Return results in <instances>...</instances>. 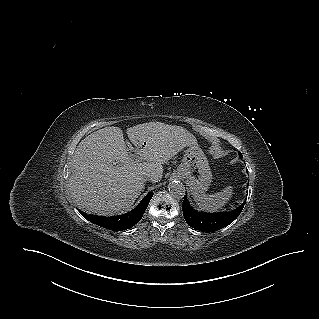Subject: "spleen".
<instances>
[{
	"label": "spleen",
	"instance_id": "spleen-1",
	"mask_svg": "<svg viewBox=\"0 0 319 319\" xmlns=\"http://www.w3.org/2000/svg\"><path fill=\"white\" fill-rule=\"evenodd\" d=\"M232 194L233 187L228 186L222 191L211 195L204 193H194L193 198L200 208L208 211H217L226 205V203L231 199Z\"/></svg>",
	"mask_w": 319,
	"mask_h": 319
}]
</instances>
